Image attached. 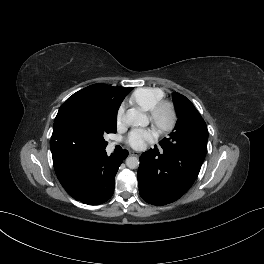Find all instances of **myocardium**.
I'll return each instance as SVG.
<instances>
[{"label": "myocardium", "instance_id": "obj_1", "mask_svg": "<svg viewBox=\"0 0 264 264\" xmlns=\"http://www.w3.org/2000/svg\"><path fill=\"white\" fill-rule=\"evenodd\" d=\"M152 124L160 133L171 132L178 122V112L175 105L168 100L159 101L149 111Z\"/></svg>", "mask_w": 264, "mask_h": 264}]
</instances>
